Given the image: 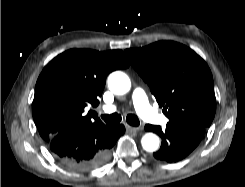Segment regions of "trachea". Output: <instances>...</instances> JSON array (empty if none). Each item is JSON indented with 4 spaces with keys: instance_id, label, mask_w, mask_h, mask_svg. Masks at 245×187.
I'll list each match as a JSON object with an SVG mask.
<instances>
[{
    "instance_id": "obj_1",
    "label": "trachea",
    "mask_w": 245,
    "mask_h": 187,
    "mask_svg": "<svg viewBox=\"0 0 245 187\" xmlns=\"http://www.w3.org/2000/svg\"><path fill=\"white\" fill-rule=\"evenodd\" d=\"M101 117L107 124L118 123L122 119L121 115L117 113L110 114V115L105 114V115H102ZM126 121L129 125H132V126H138L140 124L138 117L134 114H128L126 117Z\"/></svg>"
}]
</instances>
